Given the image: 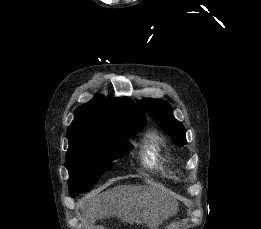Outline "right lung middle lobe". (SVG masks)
I'll return each mask as SVG.
<instances>
[{
    "label": "right lung middle lobe",
    "instance_id": "obj_1",
    "mask_svg": "<svg viewBox=\"0 0 261 229\" xmlns=\"http://www.w3.org/2000/svg\"><path fill=\"white\" fill-rule=\"evenodd\" d=\"M144 125L126 124L112 129L119 142H84L69 146L66 163L71 197L88 191L99 178L114 165V160L128 153L132 145L126 142Z\"/></svg>",
    "mask_w": 261,
    "mask_h": 229
}]
</instances>
